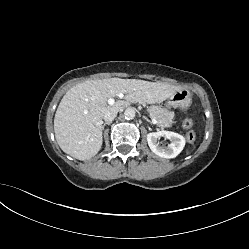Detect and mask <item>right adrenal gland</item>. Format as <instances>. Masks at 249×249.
<instances>
[{
  "label": "right adrenal gland",
  "instance_id": "right-adrenal-gland-1",
  "mask_svg": "<svg viewBox=\"0 0 249 249\" xmlns=\"http://www.w3.org/2000/svg\"><path fill=\"white\" fill-rule=\"evenodd\" d=\"M110 124H111V122H105V123L103 124V126H102V130H104V128H105L106 125H110Z\"/></svg>",
  "mask_w": 249,
  "mask_h": 249
}]
</instances>
